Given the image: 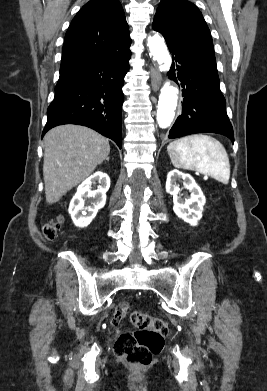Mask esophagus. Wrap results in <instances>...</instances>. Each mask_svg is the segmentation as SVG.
Listing matches in <instances>:
<instances>
[{
    "label": "esophagus",
    "instance_id": "obj_1",
    "mask_svg": "<svg viewBox=\"0 0 267 391\" xmlns=\"http://www.w3.org/2000/svg\"><path fill=\"white\" fill-rule=\"evenodd\" d=\"M161 82L162 78L160 72L155 68H151V85L154 91L159 89Z\"/></svg>",
    "mask_w": 267,
    "mask_h": 391
}]
</instances>
